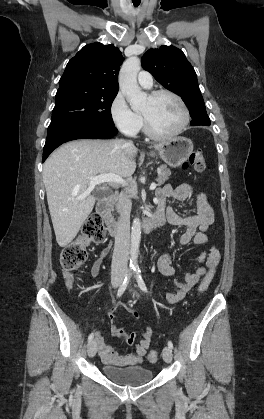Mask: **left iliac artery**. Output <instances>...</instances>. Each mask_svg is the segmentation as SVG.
<instances>
[{
  "label": "left iliac artery",
  "instance_id": "1",
  "mask_svg": "<svg viewBox=\"0 0 264 419\" xmlns=\"http://www.w3.org/2000/svg\"><path fill=\"white\" fill-rule=\"evenodd\" d=\"M135 272H136V276H137V282H138V286L139 288L143 291V292H147V287L144 283V280L141 276V271L139 268H134ZM168 347L170 349H173V343L171 341H168Z\"/></svg>",
  "mask_w": 264,
  "mask_h": 419
}]
</instances>
